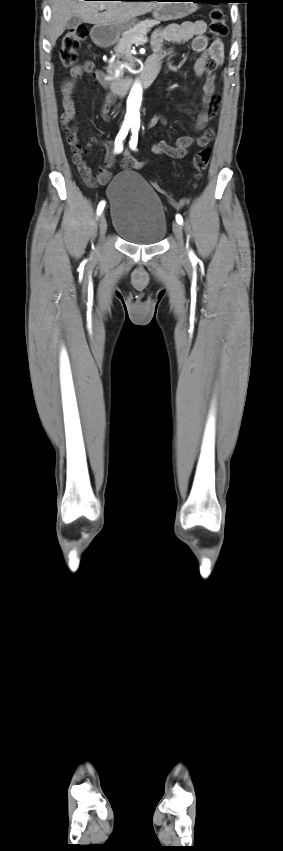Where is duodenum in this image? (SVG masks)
Here are the masks:
<instances>
[{"mask_svg":"<svg viewBox=\"0 0 283 851\" xmlns=\"http://www.w3.org/2000/svg\"><path fill=\"white\" fill-rule=\"evenodd\" d=\"M97 42L101 45H106L108 43V38L103 31H98L95 35ZM160 70V61L155 58H150L145 65V68L139 78V82L143 86H149L155 80L158 72ZM110 88L115 89V96H124L133 85L134 80L132 78H117L110 81Z\"/></svg>","mask_w":283,"mask_h":851,"instance_id":"duodenum-1","label":"duodenum"}]
</instances>
